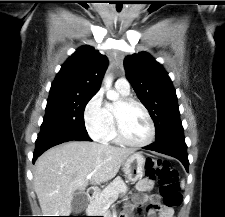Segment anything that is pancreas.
<instances>
[{"label": "pancreas", "mask_w": 225, "mask_h": 217, "mask_svg": "<svg viewBox=\"0 0 225 217\" xmlns=\"http://www.w3.org/2000/svg\"><path fill=\"white\" fill-rule=\"evenodd\" d=\"M127 191V185L122 178H115L108 186L97 193L95 199L88 206V212L96 216L111 217L108 210L110 204L116 201L120 194L125 195Z\"/></svg>", "instance_id": "obj_1"}]
</instances>
